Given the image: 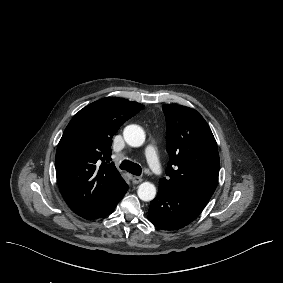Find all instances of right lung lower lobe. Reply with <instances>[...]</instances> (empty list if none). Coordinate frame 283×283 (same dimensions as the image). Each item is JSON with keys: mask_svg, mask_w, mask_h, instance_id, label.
<instances>
[{"mask_svg": "<svg viewBox=\"0 0 283 283\" xmlns=\"http://www.w3.org/2000/svg\"><path fill=\"white\" fill-rule=\"evenodd\" d=\"M127 189H128V185L125 186L123 194L121 195V197L118 198L111 206H109L105 210H103V211H101V212H99V213H97L93 216L84 217V218H86L88 220H93V219L101 218V217H104V216L111 214L114 211V209L116 208L117 204L120 202V200L123 198V196L127 192Z\"/></svg>", "mask_w": 283, "mask_h": 283, "instance_id": "98d812e1", "label": "right lung lower lobe"}]
</instances>
